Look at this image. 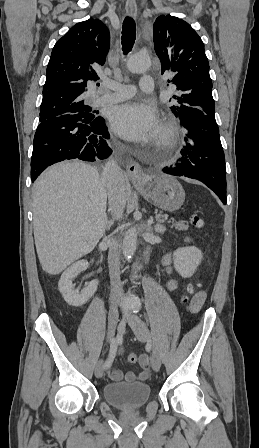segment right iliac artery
Segmentation results:
<instances>
[{"label":"right iliac artery","mask_w":259,"mask_h":448,"mask_svg":"<svg viewBox=\"0 0 259 448\" xmlns=\"http://www.w3.org/2000/svg\"><path fill=\"white\" fill-rule=\"evenodd\" d=\"M110 342L109 356L103 365L104 369H108L111 367L117 350V340L115 338H112Z\"/></svg>","instance_id":"obj_1"}]
</instances>
